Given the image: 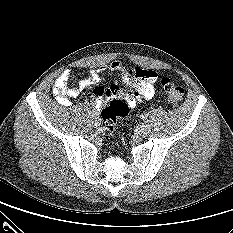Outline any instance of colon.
Segmentation results:
<instances>
[{
    "label": "colon",
    "instance_id": "colon-1",
    "mask_svg": "<svg viewBox=\"0 0 233 233\" xmlns=\"http://www.w3.org/2000/svg\"><path fill=\"white\" fill-rule=\"evenodd\" d=\"M128 75L133 81L135 87L142 82L149 81V78L151 77V74L147 70H143L139 67L130 68ZM161 86L167 96L168 102L172 106H178L183 99V88L167 77L161 79ZM134 89L135 88H133V91ZM128 110V103L124 98L120 97L113 98L108 105L103 108L101 111V117L103 120L102 131L105 136L112 134L115 122L117 119L124 117Z\"/></svg>",
    "mask_w": 233,
    "mask_h": 233
}]
</instances>
